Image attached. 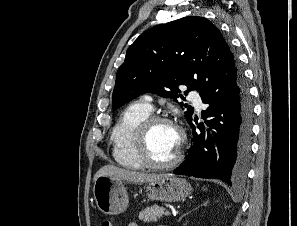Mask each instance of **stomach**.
<instances>
[{"label":"stomach","mask_w":297,"mask_h":226,"mask_svg":"<svg viewBox=\"0 0 297 226\" xmlns=\"http://www.w3.org/2000/svg\"><path fill=\"white\" fill-rule=\"evenodd\" d=\"M191 185L183 178L165 176L146 186V193L151 200L175 202L190 195ZM94 199L98 209L107 215H117L128 207V195L121 180L109 176H100L93 187Z\"/></svg>","instance_id":"1"}]
</instances>
